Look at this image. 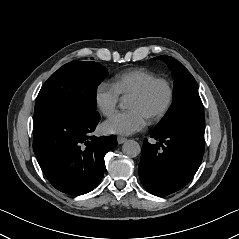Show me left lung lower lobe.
<instances>
[{
  "mask_svg": "<svg viewBox=\"0 0 239 239\" xmlns=\"http://www.w3.org/2000/svg\"><path fill=\"white\" fill-rule=\"evenodd\" d=\"M205 122L187 121L164 133L151 131L156 145L144 142L139 177L144 188L157 196L174 193L188 184L204 154Z\"/></svg>",
  "mask_w": 239,
  "mask_h": 239,
  "instance_id": "obj_1",
  "label": "left lung lower lobe"
}]
</instances>
